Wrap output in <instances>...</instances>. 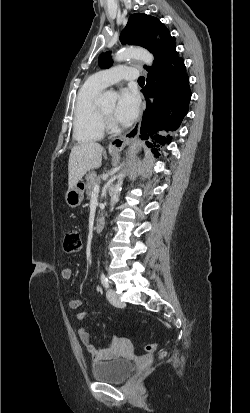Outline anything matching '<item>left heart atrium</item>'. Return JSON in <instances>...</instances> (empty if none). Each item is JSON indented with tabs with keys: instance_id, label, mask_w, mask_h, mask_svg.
Instances as JSON below:
<instances>
[{
	"instance_id": "obj_1",
	"label": "left heart atrium",
	"mask_w": 250,
	"mask_h": 413,
	"mask_svg": "<svg viewBox=\"0 0 250 413\" xmlns=\"http://www.w3.org/2000/svg\"><path fill=\"white\" fill-rule=\"evenodd\" d=\"M140 101L137 93L129 88H123L118 95L115 116L123 124H129L138 115Z\"/></svg>"
}]
</instances>
